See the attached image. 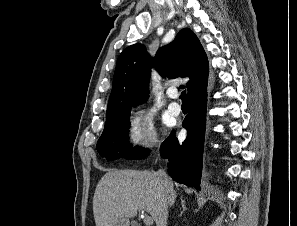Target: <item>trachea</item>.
<instances>
[{"instance_id": "3493384b", "label": "trachea", "mask_w": 297, "mask_h": 226, "mask_svg": "<svg viewBox=\"0 0 297 226\" xmlns=\"http://www.w3.org/2000/svg\"><path fill=\"white\" fill-rule=\"evenodd\" d=\"M180 99L182 100V104H185V105L188 104L186 90H184V91L181 93V95H180Z\"/></svg>"}]
</instances>
